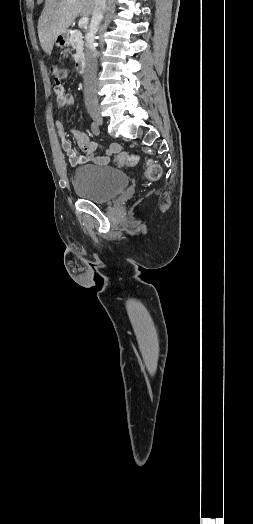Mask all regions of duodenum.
<instances>
[{
  "mask_svg": "<svg viewBox=\"0 0 253 524\" xmlns=\"http://www.w3.org/2000/svg\"><path fill=\"white\" fill-rule=\"evenodd\" d=\"M75 68L78 73H84L85 72V62L82 58H78L75 62Z\"/></svg>",
  "mask_w": 253,
  "mask_h": 524,
  "instance_id": "obj_1",
  "label": "duodenum"
}]
</instances>
